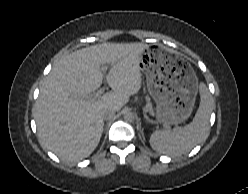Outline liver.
I'll return each mask as SVG.
<instances>
[{
    "instance_id": "6515ba94",
    "label": "liver",
    "mask_w": 248,
    "mask_h": 194,
    "mask_svg": "<svg viewBox=\"0 0 248 194\" xmlns=\"http://www.w3.org/2000/svg\"><path fill=\"white\" fill-rule=\"evenodd\" d=\"M147 44L103 43L64 56L44 80L35 105L41 144L66 161L88 157L97 147L104 113L119 111L141 89L140 54ZM111 68L107 82L113 91L101 99L90 96L103 81L101 65Z\"/></svg>"
}]
</instances>
